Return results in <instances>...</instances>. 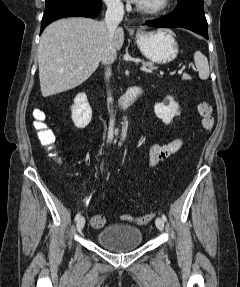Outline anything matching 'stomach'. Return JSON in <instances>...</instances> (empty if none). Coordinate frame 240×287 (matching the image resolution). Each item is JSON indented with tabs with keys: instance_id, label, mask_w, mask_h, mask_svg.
<instances>
[{
	"instance_id": "stomach-1",
	"label": "stomach",
	"mask_w": 240,
	"mask_h": 287,
	"mask_svg": "<svg viewBox=\"0 0 240 287\" xmlns=\"http://www.w3.org/2000/svg\"><path fill=\"white\" fill-rule=\"evenodd\" d=\"M136 43L141 53L150 61L166 64L173 61L178 54V44L170 29L136 33Z\"/></svg>"
}]
</instances>
